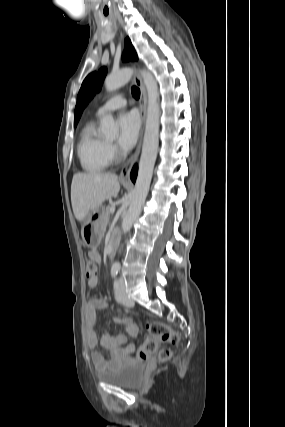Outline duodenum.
<instances>
[{"mask_svg":"<svg viewBox=\"0 0 285 427\" xmlns=\"http://www.w3.org/2000/svg\"><path fill=\"white\" fill-rule=\"evenodd\" d=\"M118 240H119V236L116 232H114L110 237L108 248H107V253L109 257H113L118 244Z\"/></svg>","mask_w":285,"mask_h":427,"instance_id":"obj_1","label":"duodenum"}]
</instances>
